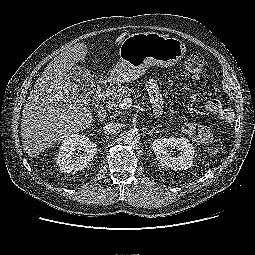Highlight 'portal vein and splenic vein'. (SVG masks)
Listing matches in <instances>:
<instances>
[{"instance_id": "portal-vein-and-splenic-vein-1", "label": "portal vein and splenic vein", "mask_w": 255, "mask_h": 255, "mask_svg": "<svg viewBox=\"0 0 255 255\" xmlns=\"http://www.w3.org/2000/svg\"><path fill=\"white\" fill-rule=\"evenodd\" d=\"M132 106V99L129 97L124 98L120 103H119V108L121 109H128Z\"/></svg>"}]
</instances>
